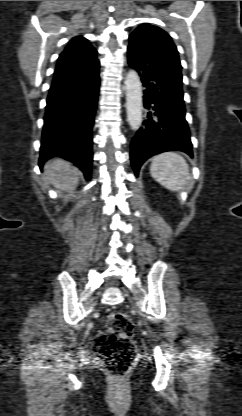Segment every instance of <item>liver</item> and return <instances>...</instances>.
Wrapping results in <instances>:
<instances>
[{
    "instance_id": "liver-1",
    "label": "liver",
    "mask_w": 242,
    "mask_h": 416,
    "mask_svg": "<svg viewBox=\"0 0 242 416\" xmlns=\"http://www.w3.org/2000/svg\"><path fill=\"white\" fill-rule=\"evenodd\" d=\"M80 171L64 159H55L45 165L44 178L58 191L73 193L79 183Z\"/></svg>"
}]
</instances>
